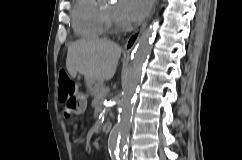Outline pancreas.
Masks as SVG:
<instances>
[{
  "label": "pancreas",
  "mask_w": 242,
  "mask_h": 160,
  "mask_svg": "<svg viewBox=\"0 0 242 160\" xmlns=\"http://www.w3.org/2000/svg\"><path fill=\"white\" fill-rule=\"evenodd\" d=\"M108 92V88H103L99 93H97L92 101V107L100 109L102 107V101L106 98Z\"/></svg>",
  "instance_id": "pancreas-1"
}]
</instances>
